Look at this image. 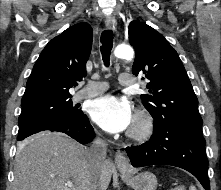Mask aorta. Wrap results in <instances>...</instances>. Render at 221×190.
<instances>
[{
  "mask_svg": "<svg viewBox=\"0 0 221 190\" xmlns=\"http://www.w3.org/2000/svg\"><path fill=\"white\" fill-rule=\"evenodd\" d=\"M114 55L116 58L130 60L134 56V51L129 45H118L115 48Z\"/></svg>",
  "mask_w": 221,
  "mask_h": 190,
  "instance_id": "obj_1",
  "label": "aorta"
}]
</instances>
